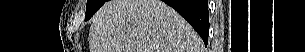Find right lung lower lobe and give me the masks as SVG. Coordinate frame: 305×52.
Segmentation results:
<instances>
[{
	"label": "right lung lower lobe",
	"instance_id": "obj_1",
	"mask_svg": "<svg viewBox=\"0 0 305 52\" xmlns=\"http://www.w3.org/2000/svg\"><path fill=\"white\" fill-rule=\"evenodd\" d=\"M174 8L197 31L204 41L208 43L209 14L208 0H162Z\"/></svg>",
	"mask_w": 305,
	"mask_h": 52
}]
</instances>
